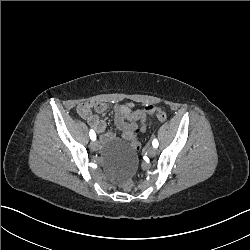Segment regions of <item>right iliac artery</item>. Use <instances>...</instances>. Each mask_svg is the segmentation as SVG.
Returning <instances> with one entry per match:
<instances>
[{
    "instance_id": "obj_1",
    "label": "right iliac artery",
    "mask_w": 250,
    "mask_h": 250,
    "mask_svg": "<svg viewBox=\"0 0 250 250\" xmlns=\"http://www.w3.org/2000/svg\"><path fill=\"white\" fill-rule=\"evenodd\" d=\"M89 134H90L91 140H96V134H95V132L93 130H90Z\"/></svg>"
}]
</instances>
